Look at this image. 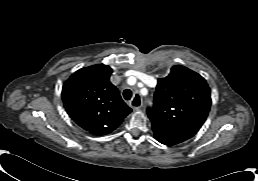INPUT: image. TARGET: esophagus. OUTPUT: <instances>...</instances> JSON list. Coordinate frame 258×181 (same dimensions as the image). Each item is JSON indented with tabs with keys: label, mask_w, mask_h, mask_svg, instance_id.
Masks as SVG:
<instances>
[{
	"label": "esophagus",
	"mask_w": 258,
	"mask_h": 181,
	"mask_svg": "<svg viewBox=\"0 0 258 181\" xmlns=\"http://www.w3.org/2000/svg\"><path fill=\"white\" fill-rule=\"evenodd\" d=\"M137 104V105H135ZM131 107L133 110L138 111L142 107V100L138 94H135L131 103Z\"/></svg>",
	"instance_id": "34e87169"
}]
</instances>
